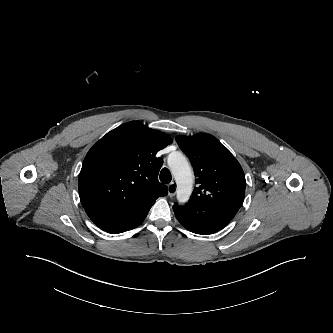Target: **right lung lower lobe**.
<instances>
[{
    "instance_id": "1",
    "label": "right lung lower lobe",
    "mask_w": 333,
    "mask_h": 333,
    "mask_svg": "<svg viewBox=\"0 0 333 333\" xmlns=\"http://www.w3.org/2000/svg\"><path fill=\"white\" fill-rule=\"evenodd\" d=\"M145 217H143V218H141V219H139L137 221H134V222H132L129 225H126V226H123V227H117V228L109 229V230H107V232L108 233H112V234H117V233H121V232H125V231H128V230L134 229V228H136L137 226H139L143 222V220L145 219Z\"/></svg>"
}]
</instances>
